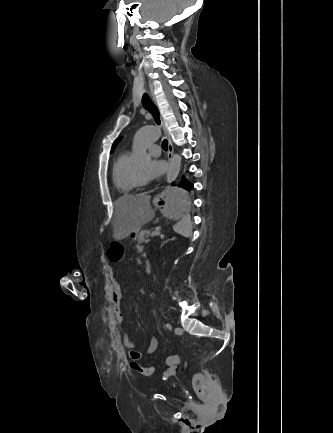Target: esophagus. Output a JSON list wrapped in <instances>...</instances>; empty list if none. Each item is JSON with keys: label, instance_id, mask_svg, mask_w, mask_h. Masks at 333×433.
<instances>
[{"label": "esophagus", "instance_id": "34e87169", "mask_svg": "<svg viewBox=\"0 0 333 433\" xmlns=\"http://www.w3.org/2000/svg\"><path fill=\"white\" fill-rule=\"evenodd\" d=\"M161 121H162V131L164 132L166 138L168 139L167 158H168V162L170 163V162H171V159H172V156H173L174 146H173L172 140H171V138H170V135H169V133H168V131H167V128H166V126L164 125L163 120H161Z\"/></svg>", "mask_w": 333, "mask_h": 433}]
</instances>
